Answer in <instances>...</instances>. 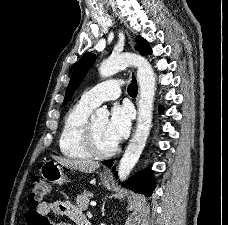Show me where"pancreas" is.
Returning a JSON list of instances; mask_svg holds the SVG:
<instances>
[{
  "label": "pancreas",
  "instance_id": "1",
  "mask_svg": "<svg viewBox=\"0 0 228 225\" xmlns=\"http://www.w3.org/2000/svg\"><path fill=\"white\" fill-rule=\"evenodd\" d=\"M92 195L90 191H84L82 195H78L76 199L77 207H80L82 211H86L88 205H89V197Z\"/></svg>",
  "mask_w": 228,
  "mask_h": 225
}]
</instances>
